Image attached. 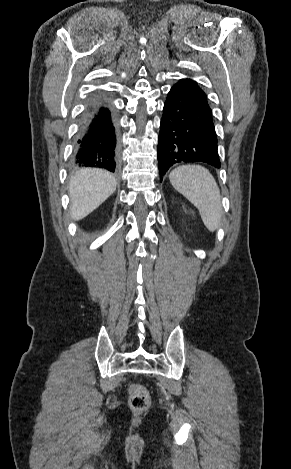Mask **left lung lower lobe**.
Here are the masks:
<instances>
[{
    "instance_id": "0a47b994",
    "label": "left lung lower lobe",
    "mask_w": 291,
    "mask_h": 469,
    "mask_svg": "<svg viewBox=\"0 0 291 469\" xmlns=\"http://www.w3.org/2000/svg\"><path fill=\"white\" fill-rule=\"evenodd\" d=\"M181 162L221 166L212 111L206 94L191 79L174 84L164 103L158 138L160 180Z\"/></svg>"
}]
</instances>
